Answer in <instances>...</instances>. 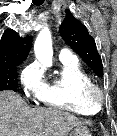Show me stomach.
<instances>
[{
    "mask_svg": "<svg viewBox=\"0 0 117 136\" xmlns=\"http://www.w3.org/2000/svg\"><path fill=\"white\" fill-rule=\"evenodd\" d=\"M70 136H91L89 129L86 126H77L75 127Z\"/></svg>",
    "mask_w": 117,
    "mask_h": 136,
    "instance_id": "stomach-1",
    "label": "stomach"
}]
</instances>
